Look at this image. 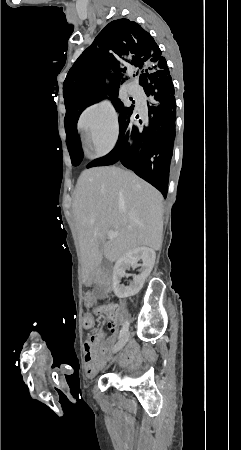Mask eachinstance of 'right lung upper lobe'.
Listing matches in <instances>:
<instances>
[{
    "instance_id": "1",
    "label": "right lung upper lobe",
    "mask_w": 241,
    "mask_h": 450,
    "mask_svg": "<svg viewBox=\"0 0 241 450\" xmlns=\"http://www.w3.org/2000/svg\"><path fill=\"white\" fill-rule=\"evenodd\" d=\"M166 59L153 37L128 19L110 22L76 60L69 72L92 86L118 90L129 73L140 76L151 67H163ZM105 77L111 80L105 84Z\"/></svg>"
}]
</instances>
